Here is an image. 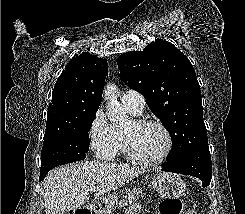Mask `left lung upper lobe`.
Here are the masks:
<instances>
[{"mask_svg": "<svg viewBox=\"0 0 245 214\" xmlns=\"http://www.w3.org/2000/svg\"><path fill=\"white\" fill-rule=\"evenodd\" d=\"M120 77L139 91L168 130L173 148L166 160L208 146L200 85L188 58L173 44L157 39L143 51L117 59Z\"/></svg>", "mask_w": 245, "mask_h": 214, "instance_id": "obj_1", "label": "left lung upper lobe"}]
</instances>
